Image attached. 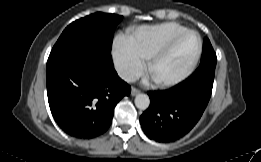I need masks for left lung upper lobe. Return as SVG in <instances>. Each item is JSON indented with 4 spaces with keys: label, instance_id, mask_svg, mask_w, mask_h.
Listing matches in <instances>:
<instances>
[{
    "label": "left lung upper lobe",
    "instance_id": "left-lung-upper-lobe-1",
    "mask_svg": "<svg viewBox=\"0 0 261 162\" xmlns=\"http://www.w3.org/2000/svg\"><path fill=\"white\" fill-rule=\"evenodd\" d=\"M216 62H217V58H216V54L213 50V47H212L209 39L205 38L204 43H203V53H202V57H201V63L199 66H203V65H207V64L216 65Z\"/></svg>",
    "mask_w": 261,
    "mask_h": 162
}]
</instances>
